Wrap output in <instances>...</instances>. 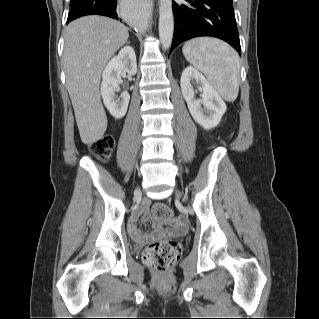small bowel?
Listing matches in <instances>:
<instances>
[{
  "mask_svg": "<svg viewBox=\"0 0 319 319\" xmlns=\"http://www.w3.org/2000/svg\"><path fill=\"white\" fill-rule=\"evenodd\" d=\"M150 205V200L148 198H143L141 205L139 207V209L133 214V216L131 217V220L128 224V231L129 233L141 240V241H148L150 240V238H144L142 236L141 231L136 227V220L139 217H142L144 220H149V213H148V208ZM153 225L155 227V229L157 230V237L160 236H164V235H177V234H182L186 231L187 229V222L186 220H184L182 217L176 216L174 217L170 223L173 226L171 229H162V223L160 221L157 220H152Z\"/></svg>",
  "mask_w": 319,
  "mask_h": 319,
  "instance_id": "c3829d8e",
  "label": "small bowel"
}]
</instances>
